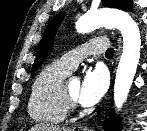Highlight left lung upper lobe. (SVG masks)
Returning <instances> with one entry per match:
<instances>
[{
  "label": "left lung upper lobe",
  "instance_id": "obj_1",
  "mask_svg": "<svg viewBox=\"0 0 147 131\" xmlns=\"http://www.w3.org/2000/svg\"><path fill=\"white\" fill-rule=\"evenodd\" d=\"M102 4L105 7L119 8L123 10L132 9L131 0H102ZM64 15H65L64 12L59 13L56 17L52 19V21L47 26L43 34L42 40L39 43L36 59L33 64L31 74H33L38 69V67L44 62V60L51 52L55 33L59 25L61 24Z\"/></svg>",
  "mask_w": 147,
  "mask_h": 131
}]
</instances>
